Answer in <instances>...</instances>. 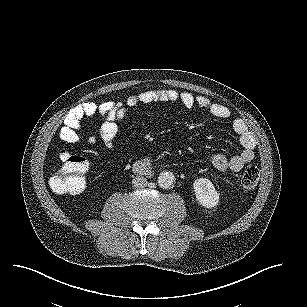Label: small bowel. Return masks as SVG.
<instances>
[{"instance_id":"small-bowel-1","label":"small bowel","mask_w":307,"mask_h":307,"mask_svg":"<svg viewBox=\"0 0 307 307\" xmlns=\"http://www.w3.org/2000/svg\"><path fill=\"white\" fill-rule=\"evenodd\" d=\"M174 102H180L186 108L196 107L206 110L219 119H228L231 116V111L227 106L203 95L196 96L190 92H178L174 89L147 90L128 96L125 102L95 103L88 101L80 104L66 115L59 135L62 141L75 143L79 140L78 131L81 121L85 117L100 115L104 121L99 129V137L108 148H112L116 145L118 125L125 117L129 107L139 104ZM232 129L238 135L243 149L240 154L230 158L223 154H215L212 158V165L219 172H238L255 157L256 141L245 122L240 118L234 119Z\"/></svg>"}]
</instances>
